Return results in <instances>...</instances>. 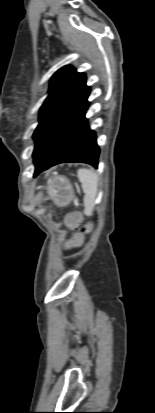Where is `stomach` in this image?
<instances>
[{
    "label": "stomach",
    "instance_id": "1",
    "mask_svg": "<svg viewBox=\"0 0 155 413\" xmlns=\"http://www.w3.org/2000/svg\"><path fill=\"white\" fill-rule=\"evenodd\" d=\"M46 189L49 197L59 206H65L72 200V187L64 177L57 176L49 179Z\"/></svg>",
    "mask_w": 155,
    "mask_h": 413
}]
</instances>
